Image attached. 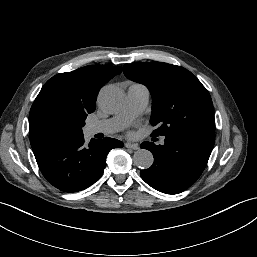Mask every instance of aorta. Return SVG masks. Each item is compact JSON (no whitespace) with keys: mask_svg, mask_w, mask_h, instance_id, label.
Segmentation results:
<instances>
[{"mask_svg":"<svg viewBox=\"0 0 257 257\" xmlns=\"http://www.w3.org/2000/svg\"><path fill=\"white\" fill-rule=\"evenodd\" d=\"M98 101L102 109L113 113L122 108L125 95L118 87L106 86L100 91ZM153 160L152 153L146 149H139L133 155L134 164L141 169L149 168L153 164Z\"/></svg>","mask_w":257,"mask_h":257,"instance_id":"762f6f07","label":"aorta"}]
</instances>
